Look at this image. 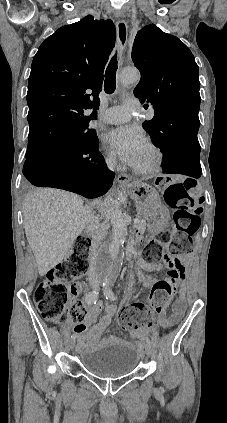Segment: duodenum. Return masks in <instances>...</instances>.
Returning <instances> with one entry per match:
<instances>
[{"instance_id":"duodenum-1","label":"duodenum","mask_w":227,"mask_h":423,"mask_svg":"<svg viewBox=\"0 0 227 423\" xmlns=\"http://www.w3.org/2000/svg\"><path fill=\"white\" fill-rule=\"evenodd\" d=\"M127 252L130 253L133 258L136 256V250L133 246H129Z\"/></svg>"}]
</instances>
